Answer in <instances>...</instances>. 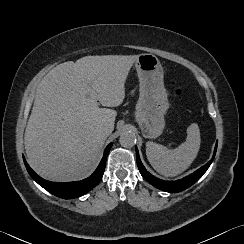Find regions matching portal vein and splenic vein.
I'll return each mask as SVG.
<instances>
[{"instance_id": "1", "label": "portal vein and splenic vein", "mask_w": 244, "mask_h": 244, "mask_svg": "<svg viewBox=\"0 0 244 244\" xmlns=\"http://www.w3.org/2000/svg\"><path fill=\"white\" fill-rule=\"evenodd\" d=\"M85 89H86V93L91 97V98H95L96 93L95 91H93V89L87 85H85Z\"/></svg>"}]
</instances>
